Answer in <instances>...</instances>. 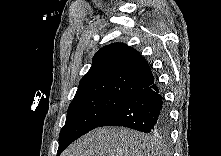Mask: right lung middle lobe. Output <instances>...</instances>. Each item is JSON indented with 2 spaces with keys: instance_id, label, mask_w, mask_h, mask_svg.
Masks as SVG:
<instances>
[{
  "instance_id": "obj_1",
  "label": "right lung middle lobe",
  "mask_w": 221,
  "mask_h": 156,
  "mask_svg": "<svg viewBox=\"0 0 221 156\" xmlns=\"http://www.w3.org/2000/svg\"><path fill=\"white\" fill-rule=\"evenodd\" d=\"M127 99L107 95L74 99L69 105L66 123L59 135L57 156L74 140L99 127Z\"/></svg>"
}]
</instances>
